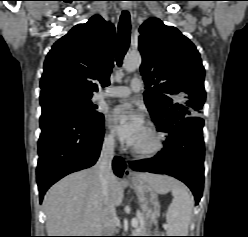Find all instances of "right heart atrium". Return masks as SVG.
Segmentation results:
<instances>
[{"label": "right heart atrium", "instance_id": "right-heart-atrium-1", "mask_svg": "<svg viewBox=\"0 0 248 237\" xmlns=\"http://www.w3.org/2000/svg\"><path fill=\"white\" fill-rule=\"evenodd\" d=\"M104 143L108 147H114L116 140L113 132H107L104 136Z\"/></svg>", "mask_w": 248, "mask_h": 237}]
</instances>
